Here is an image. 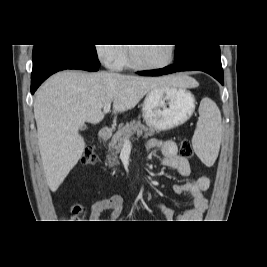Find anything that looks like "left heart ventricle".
Returning <instances> with one entry per match:
<instances>
[{
    "instance_id": "b2bd125f",
    "label": "left heart ventricle",
    "mask_w": 267,
    "mask_h": 267,
    "mask_svg": "<svg viewBox=\"0 0 267 267\" xmlns=\"http://www.w3.org/2000/svg\"><path fill=\"white\" fill-rule=\"evenodd\" d=\"M133 52L138 62L147 65H159L169 58L168 44L158 46H134Z\"/></svg>"
}]
</instances>
